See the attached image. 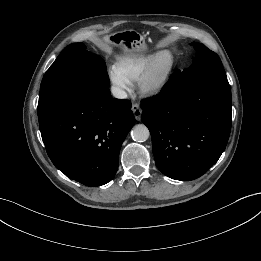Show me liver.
<instances>
[{
  "instance_id": "6515ba94",
  "label": "liver",
  "mask_w": 261,
  "mask_h": 261,
  "mask_svg": "<svg viewBox=\"0 0 261 261\" xmlns=\"http://www.w3.org/2000/svg\"><path fill=\"white\" fill-rule=\"evenodd\" d=\"M113 43L110 41L109 37H103L100 41H99V45L101 47H109L111 46Z\"/></svg>"
}]
</instances>
